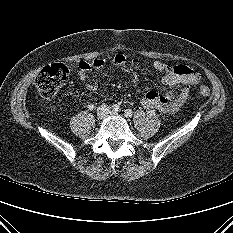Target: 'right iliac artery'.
I'll return each instance as SVG.
<instances>
[{
  "instance_id": "1",
  "label": "right iliac artery",
  "mask_w": 233,
  "mask_h": 233,
  "mask_svg": "<svg viewBox=\"0 0 233 233\" xmlns=\"http://www.w3.org/2000/svg\"><path fill=\"white\" fill-rule=\"evenodd\" d=\"M112 111H113V112H119V111H120V106L117 105V104H114V105L112 106Z\"/></svg>"
}]
</instances>
